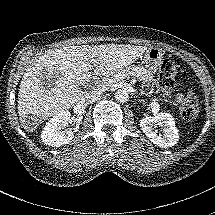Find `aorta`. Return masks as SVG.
<instances>
[{
  "mask_svg": "<svg viewBox=\"0 0 215 215\" xmlns=\"http://www.w3.org/2000/svg\"><path fill=\"white\" fill-rule=\"evenodd\" d=\"M114 96H115V100L120 103L126 102L129 99L128 92L124 89H120L116 91Z\"/></svg>",
  "mask_w": 215,
  "mask_h": 215,
  "instance_id": "obj_1",
  "label": "aorta"
}]
</instances>
